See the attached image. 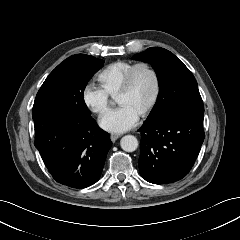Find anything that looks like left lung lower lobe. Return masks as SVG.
I'll return each instance as SVG.
<instances>
[{"instance_id":"0a47b994","label":"left lung lower lobe","mask_w":240,"mask_h":240,"mask_svg":"<svg viewBox=\"0 0 240 240\" xmlns=\"http://www.w3.org/2000/svg\"><path fill=\"white\" fill-rule=\"evenodd\" d=\"M204 113L177 111L160 121L144 122L141 133V176L153 184H168L184 178L204 141Z\"/></svg>"}]
</instances>
